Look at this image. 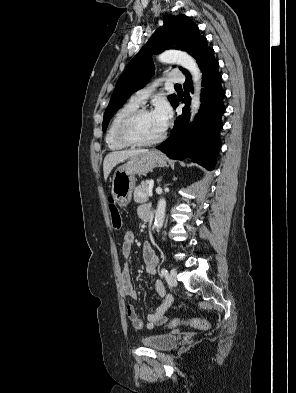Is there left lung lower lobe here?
Instances as JSON below:
<instances>
[{"mask_svg": "<svg viewBox=\"0 0 296 393\" xmlns=\"http://www.w3.org/2000/svg\"><path fill=\"white\" fill-rule=\"evenodd\" d=\"M218 61L214 58L212 50L200 63L203 81L201 90V107L193 124L188 125L190 96L193 92L191 76L186 75L184 84L187 96L183 101L185 106L183 114L178 116L171 135L158 147L172 159L183 160L191 158L208 170L216 164V157L221 146L219 133L222 128L221 116L225 111L222 89V76L218 72ZM178 105H175V107Z\"/></svg>", "mask_w": 296, "mask_h": 393, "instance_id": "left-lung-lower-lobe-1", "label": "left lung lower lobe"}]
</instances>
